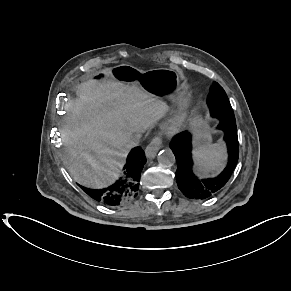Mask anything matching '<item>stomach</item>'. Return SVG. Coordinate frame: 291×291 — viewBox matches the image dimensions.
<instances>
[{"label":"stomach","instance_id":"1","mask_svg":"<svg viewBox=\"0 0 291 291\" xmlns=\"http://www.w3.org/2000/svg\"><path fill=\"white\" fill-rule=\"evenodd\" d=\"M116 79L129 84L136 83L157 98L169 99L173 105H185L188 100L189 94L183 81V75L178 70L157 68L142 71L122 65L114 69L101 66L93 74L94 84L101 89L111 88ZM82 83L87 84L88 80L83 79ZM190 127L194 131V145L197 148L211 142L210 127L200 116L196 115L190 120Z\"/></svg>","mask_w":291,"mask_h":291}]
</instances>
